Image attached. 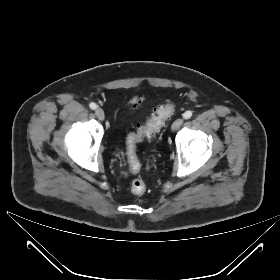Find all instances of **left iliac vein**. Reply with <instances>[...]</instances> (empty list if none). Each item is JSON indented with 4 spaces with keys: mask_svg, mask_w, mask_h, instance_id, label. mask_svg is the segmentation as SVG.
I'll use <instances>...</instances> for the list:
<instances>
[{
    "mask_svg": "<svg viewBox=\"0 0 280 280\" xmlns=\"http://www.w3.org/2000/svg\"><path fill=\"white\" fill-rule=\"evenodd\" d=\"M183 122H184V120L182 118L176 119L171 126L172 131L178 130L181 127V125L183 124Z\"/></svg>",
    "mask_w": 280,
    "mask_h": 280,
    "instance_id": "1",
    "label": "left iliac vein"
}]
</instances>
